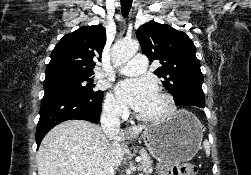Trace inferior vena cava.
<instances>
[{"mask_svg":"<svg viewBox=\"0 0 251 175\" xmlns=\"http://www.w3.org/2000/svg\"><path fill=\"white\" fill-rule=\"evenodd\" d=\"M120 115V107H116V105H109V107L103 109L100 121L102 131H104L106 135H110V133H119ZM102 175H114L113 165L104 167Z\"/></svg>","mask_w":251,"mask_h":175,"instance_id":"obj_1","label":"inferior vena cava"}]
</instances>
